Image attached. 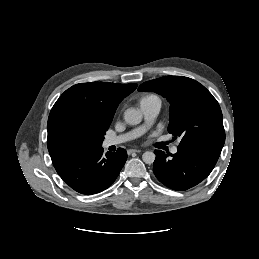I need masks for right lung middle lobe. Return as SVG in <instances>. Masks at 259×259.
Segmentation results:
<instances>
[{
  "label": "right lung middle lobe",
  "instance_id": "right-lung-middle-lobe-1",
  "mask_svg": "<svg viewBox=\"0 0 259 259\" xmlns=\"http://www.w3.org/2000/svg\"><path fill=\"white\" fill-rule=\"evenodd\" d=\"M107 129L84 120L73 119L66 124L65 137L70 148L98 147L102 145Z\"/></svg>",
  "mask_w": 259,
  "mask_h": 259
}]
</instances>
